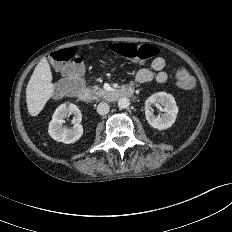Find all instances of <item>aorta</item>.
Listing matches in <instances>:
<instances>
[{"instance_id": "obj_1", "label": "aorta", "mask_w": 232, "mask_h": 232, "mask_svg": "<svg viewBox=\"0 0 232 232\" xmlns=\"http://www.w3.org/2000/svg\"><path fill=\"white\" fill-rule=\"evenodd\" d=\"M130 105V100L126 97H122L118 100V107L120 109H126Z\"/></svg>"}]
</instances>
